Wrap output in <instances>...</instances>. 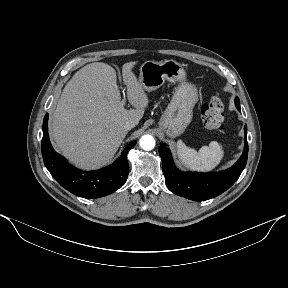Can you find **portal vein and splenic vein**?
<instances>
[{
	"mask_svg": "<svg viewBox=\"0 0 288 288\" xmlns=\"http://www.w3.org/2000/svg\"><path fill=\"white\" fill-rule=\"evenodd\" d=\"M125 103H126V99L124 98V99L121 101V104H122V105H125Z\"/></svg>",
	"mask_w": 288,
	"mask_h": 288,
	"instance_id": "obj_1",
	"label": "portal vein and splenic vein"
}]
</instances>
